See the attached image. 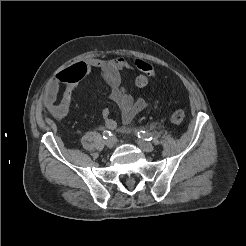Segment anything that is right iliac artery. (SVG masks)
Returning <instances> with one entry per match:
<instances>
[{"label": "right iliac artery", "instance_id": "right-iliac-artery-1", "mask_svg": "<svg viewBox=\"0 0 246 246\" xmlns=\"http://www.w3.org/2000/svg\"><path fill=\"white\" fill-rule=\"evenodd\" d=\"M111 136V132L109 130H104L103 132V138L107 139Z\"/></svg>", "mask_w": 246, "mask_h": 246}]
</instances>
